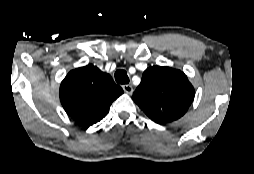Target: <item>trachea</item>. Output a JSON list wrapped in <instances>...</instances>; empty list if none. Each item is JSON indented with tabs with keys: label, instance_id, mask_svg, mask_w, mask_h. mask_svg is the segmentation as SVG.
<instances>
[{
	"label": "trachea",
	"instance_id": "obj_1",
	"mask_svg": "<svg viewBox=\"0 0 254 174\" xmlns=\"http://www.w3.org/2000/svg\"><path fill=\"white\" fill-rule=\"evenodd\" d=\"M115 80L119 84H128L129 77L125 70L119 69L115 72Z\"/></svg>",
	"mask_w": 254,
	"mask_h": 174
}]
</instances>
